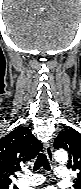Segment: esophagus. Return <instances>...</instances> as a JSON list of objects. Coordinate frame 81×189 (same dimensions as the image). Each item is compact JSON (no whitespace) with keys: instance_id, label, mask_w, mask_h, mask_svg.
<instances>
[{"instance_id":"1","label":"esophagus","mask_w":81,"mask_h":189,"mask_svg":"<svg viewBox=\"0 0 81 189\" xmlns=\"http://www.w3.org/2000/svg\"><path fill=\"white\" fill-rule=\"evenodd\" d=\"M45 154H46L48 160L51 163H54L53 148H52V146L50 144H46V146H45Z\"/></svg>"}]
</instances>
